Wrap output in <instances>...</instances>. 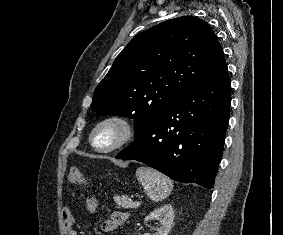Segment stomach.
<instances>
[{"label": "stomach", "instance_id": "0dacf381", "mask_svg": "<svg viewBox=\"0 0 283 235\" xmlns=\"http://www.w3.org/2000/svg\"><path fill=\"white\" fill-rule=\"evenodd\" d=\"M98 206V201L96 198L92 197L87 201V208L89 211L94 212Z\"/></svg>", "mask_w": 283, "mask_h": 235}]
</instances>
